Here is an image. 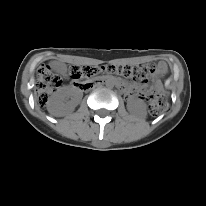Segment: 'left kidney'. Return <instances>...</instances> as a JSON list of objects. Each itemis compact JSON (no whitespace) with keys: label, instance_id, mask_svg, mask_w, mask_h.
<instances>
[{"label":"left kidney","instance_id":"1","mask_svg":"<svg viewBox=\"0 0 206 206\" xmlns=\"http://www.w3.org/2000/svg\"><path fill=\"white\" fill-rule=\"evenodd\" d=\"M127 109L130 113L146 115V105L141 99H132L127 105Z\"/></svg>","mask_w":206,"mask_h":206}]
</instances>
